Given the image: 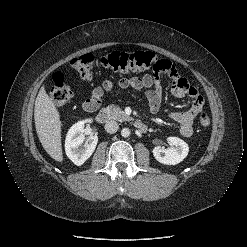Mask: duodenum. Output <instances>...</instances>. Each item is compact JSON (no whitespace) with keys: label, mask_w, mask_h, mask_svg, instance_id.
I'll return each mask as SVG.
<instances>
[{"label":"duodenum","mask_w":247,"mask_h":247,"mask_svg":"<svg viewBox=\"0 0 247 247\" xmlns=\"http://www.w3.org/2000/svg\"><path fill=\"white\" fill-rule=\"evenodd\" d=\"M96 120L99 123L107 122L109 120V114H108L107 110H105V109L100 110L96 115ZM134 125L140 131H146L147 130V125L142 121H136L134 123Z\"/></svg>","instance_id":"1"}]
</instances>
